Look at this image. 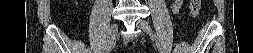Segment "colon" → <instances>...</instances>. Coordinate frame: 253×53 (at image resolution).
Listing matches in <instances>:
<instances>
[{
	"instance_id": "1",
	"label": "colon",
	"mask_w": 253,
	"mask_h": 53,
	"mask_svg": "<svg viewBox=\"0 0 253 53\" xmlns=\"http://www.w3.org/2000/svg\"><path fill=\"white\" fill-rule=\"evenodd\" d=\"M201 0H191L190 2V14L193 17H196L199 14L201 8ZM127 45L129 47H135L137 43L135 41H128Z\"/></svg>"
}]
</instances>
